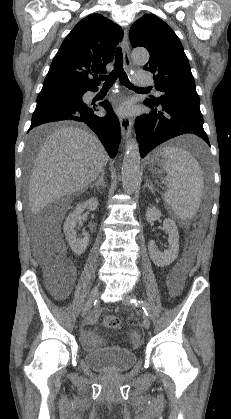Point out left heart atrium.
<instances>
[{"label":"left heart atrium","mask_w":231,"mask_h":419,"mask_svg":"<svg viewBox=\"0 0 231 419\" xmlns=\"http://www.w3.org/2000/svg\"><path fill=\"white\" fill-rule=\"evenodd\" d=\"M130 106L128 104H122L117 108V113L120 115H126L130 113Z\"/></svg>","instance_id":"39dd6f15"}]
</instances>
